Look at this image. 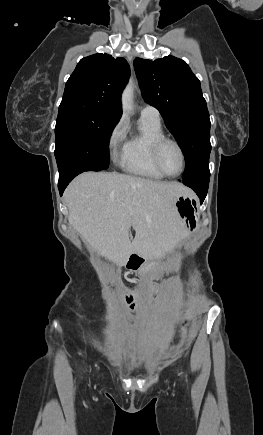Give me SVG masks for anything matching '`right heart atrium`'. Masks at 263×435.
Here are the masks:
<instances>
[{
    "label": "right heart atrium",
    "instance_id": "obj_1",
    "mask_svg": "<svg viewBox=\"0 0 263 435\" xmlns=\"http://www.w3.org/2000/svg\"><path fill=\"white\" fill-rule=\"evenodd\" d=\"M125 139V127L122 121H118L110 130L107 138V147L113 158L117 157L118 148Z\"/></svg>",
    "mask_w": 263,
    "mask_h": 435
}]
</instances>
